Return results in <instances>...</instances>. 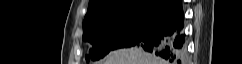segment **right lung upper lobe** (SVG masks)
Wrapping results in <instances>:
<instances>
[{
    "mask_svg": "<svg viewBox=\"0 0 242 64\" xmlns=\"http://www.w3.org/2000/svg\"><path fill=\"white\" fill-rule=\"evenodd\" d=\"M177 0H90L84 24L101 16L137 9H147L164 13Z\"/></svg>",
    "mask_w": 242,
    "mask_h": 64,
    "instance_id": "right-lung-upper-lobe-1",
    "label": "right lung upper lobe"
}]
</instances>
